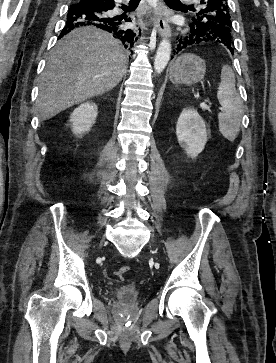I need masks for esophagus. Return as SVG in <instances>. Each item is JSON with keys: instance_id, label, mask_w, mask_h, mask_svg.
<instances>
[{"instance_id": "1", "label": "esophagus", "mask_w": 276, "mask_h": 363, "mask_svg": "<svg viewBox=\"0 0 276 363\" xmlns=\"http://www.w3.org/2000/svg\"><path fill=\"white\" fill-rule=\"evenodd\" d=\"M166 14L167 10L163 0H158L156 8L153 10V18H151V20L155 22L158 32L162 37L169 36L170 34Z\"/></svg>"}]
</instances>
